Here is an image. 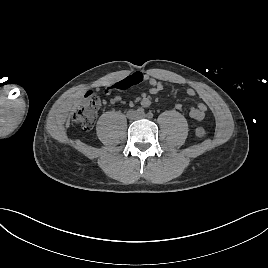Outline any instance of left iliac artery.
<instances>
[{
    "label": "left iliac artery",
    "instance_id": "44dca946",
    "mask_svg": "<svg viewBox=\"0 0 268 268\" xmlns=\"http://www.w3.org/2000/svg\"><path fill=\"white\" fill-rule=\"evenodd\" d=\"M147 117H148L149 119L153 118V113H152V112H148V113H147Z\"/></svg>",
    "mask_w": 268,
    "mask_h": 268
}]
</instances>
